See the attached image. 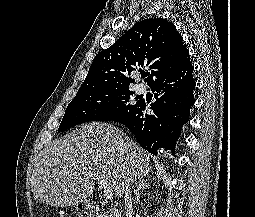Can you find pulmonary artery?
Returning a JSON list of instances; mask_svg holds the SVG:
<instances>
[{
	"label": "pulmonary artery",
	"mask_w": 255,
	"mask_h": 217,
	"mask_svg": "<svg viewBox=\"0 0 255 217\" xmlns=\"http://www.w3.org/2000/svg\"><path fill=\"white\" fill-rule=\"evenodd\" d=\"M143 90H144V89H143L142 87H139V88H138V92H140V93L143 92Z\"/></svg>",
	"instance_id": "1"
}]
</instances>
